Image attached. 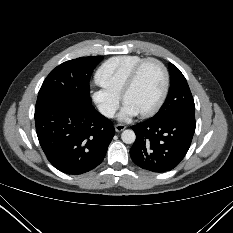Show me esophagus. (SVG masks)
Listing matches in <instances>:
<instances>
[{
	"instance_id": "1",
	"label": "esophagus",
	"mask_w": 233,
	"mask_h": 233,
	"mask_svg": "<svg viewBox=\"0 0 233 233\" xmlns=\"http://www.w3.org/2000/svg\"><path fill=\"white\" fill-rule=\"evenodd\" d=\"M125 128H126V126L123 125V124H117V125H115V131H116V132H121V131H123Z\"/></svg>"
}]
</instances>
